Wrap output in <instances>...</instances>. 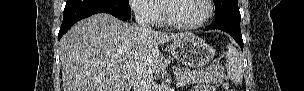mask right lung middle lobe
Returning a JSON list of instances; mask_svg holds the SVG:
<instances>
[{"instance_id":"1","label":"right lung middle lobe","mask_w":304,"mask_h":91,"mask_svg":"<svg viewBox=\"0 0 304 91\" xmlns=\"http://www.w3.org/2000/svg\"><path fill=\"white\" fill-rule=\"evenodd\" d=\"M113 3L115 5H117L118 7H122V8L128 9V10H131L128 0H113Z\"/></svg>"}]
</instances>
